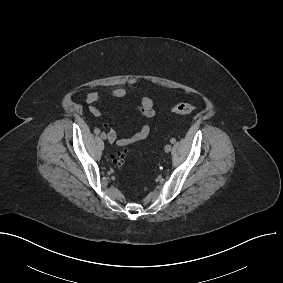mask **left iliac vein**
Returning a JSON list of instances; mask_svg holds the SVG:
<instances>
[{
	"instance_id": "1",
	"label": "left iliac vein",
	"mask_w": 283,
	"mask_h": 283,
	"mask_svg": "<svg viewBox=\"0 0 283 283\" xmlns=\"http://www.w3.org/2000/svg\"><path fill=\"white\" fill-rule=\"evenodd\" d=\"M171 149H172L171 144H167V145L165 146V148H164V150H165L166 153H169V152L171 151Z\"/></svg>"
}]
</instances>
